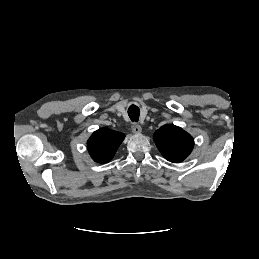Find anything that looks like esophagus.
<instances>
[{"mask_svg":"<svg viewBox=\"0 0 259 259\" xmlns=\"http://www.w3.org/2000/svg\"><path fill=\"white\" fill-rule=\"evenodd\" d=\"M131 128H132V132L134 134H140L142 132L141 126L139 124H137V123H133Z\"/></svg>","mask_w":259,"mask_h":259,"instance_id":"esophagus-1","label":"esophagus"}]
</instances>
